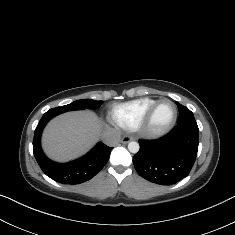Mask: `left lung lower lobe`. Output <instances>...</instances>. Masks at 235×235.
<instances>
[{
    "mask_svg": "<svg viewBox=\"0 0 235 235\" xmlns=\"http://www.w3.org/2000/svg\"><path fill=\"white\" fill-rule=\"evenodd\" d=\"M199 129L176 126L155 141L139 140L140 150L133 157L137 173L157 184H175L188 176L198 151Z\"/></svg>",
    "mask_w": 235,
    "mask_h": 235,
    "instance_id": "obj_1",
    "label": "left lung lower lobe"
}]
</instances>
